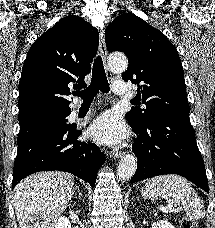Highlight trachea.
I'll return each instance as SVG.
<instances>
[{
    "label": "trachea",
    "mask_w": 215,
    "mask_h": 228,
    "mask_svg": "<svg viewBox=\"0 0 215 228\" xmlns=\"http://www.w3.org/2000/svg\"><path fill=\"white\" fill-rule=\"evenodd\" d=\"M99 90L103 93H108L110 91L109 83L106 78V73L100 55H98L94 60L92 80L90 85L85 88V90L74 93V95L82 98L83 104H89L92 103ZM131 102L132 104H135L133 101Z\"/></svg>",
    "instance_id": "obj_1"
}]
</instances>
